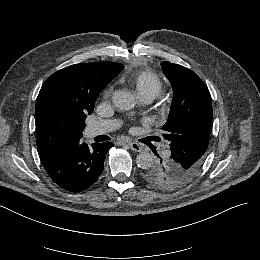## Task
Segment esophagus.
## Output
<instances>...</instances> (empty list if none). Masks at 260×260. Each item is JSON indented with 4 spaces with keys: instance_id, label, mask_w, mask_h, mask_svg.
Here are the masks:
<instances>
[{
    "instance_id": "esophagus-1",
    "label": "esophagus",
    "mask_w": 260,
    "mask_h": 260,
    "mask_svg": "<svg viewBox=\"0 0 260 260\" xmlns=\"http://www.w3.org/2000/svg\"><path fill=\"white\" fill-rule=\"evenodd\" d=\"M129 146L135 152H141L142 151V147L136 142H130Z\"/></svg>"
}]
</instances>
